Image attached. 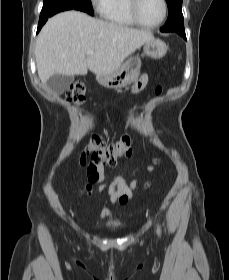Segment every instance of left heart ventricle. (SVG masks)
Here are the masks:
<instances>
[{
    "label": "left heart ventricle",
    "mask_w": 229,
    "mask_h": 280,
    "mask_svg": "<svg viewBox=\"0 0 229 280\" xmlns=\"http://www.w3.org/2000/svg\"><path fill=\"white\" fill-rule=\"evenodd\" d=\"M138 12L143 22L155 24L163 14L162 2L161 0H140Z\"/></svg>",
    "instance_id": "obj_1"
}]
</instances>
